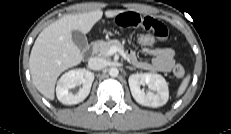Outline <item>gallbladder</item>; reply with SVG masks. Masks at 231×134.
Masks as SVG:
<instances>
[{
	"label": "gallbladder",
	"instance_id": "1",
	"mask_svg": "<svg viewBox=\"0 0 231 134\" xmlns=\"http://www.w3.org/2000/svg\"><path fill=\"white\" fill-rule=\"evenodd\" d=\"M72 40L80 50L88 47L87 37L80 31H72Z\"/></svg>",
	"mask_w": 231,
	"mask_h": 134
}]
</instances>
